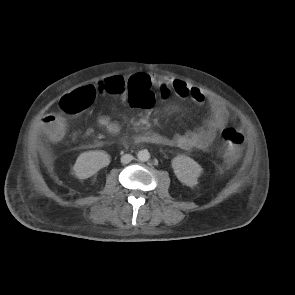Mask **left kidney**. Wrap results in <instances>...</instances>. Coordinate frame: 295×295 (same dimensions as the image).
Listing matches in <instances>:
<instances>
[{"label": "left kidney", "mask_w": 295, "mask_h": 295, "mask_svg": "<svg viewBox=\"0 0 295 295\" xmlns=\"http://www.w3.org/2000/svg\"><path fill=\"white\" fill-rule=\"evenodd\" d=\"M171 164L179 181L189 187L198 184L202 168L196 161L186 155H179L172 159Z\"/></svg>", "instance_id": "left-kidney-1"}]
</instances>
